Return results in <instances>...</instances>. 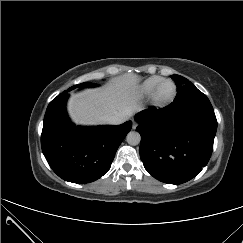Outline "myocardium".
<instances>
[{
	"label": "myocardium",
	"instance_id": "1",
	"mask_svg": "<svg viewBox=\"0 0 243 243\" xmlns=\"http://www.w3.org/2000/svg\"><path fill=\"white\" fill-rule=\"evenodd\" d=\"M167 83L172 84L173 93L168 98H162L160 96V90ZM176 96H177V86H176L175 82L172 81L171 79H165L156 87L155 91L153 92L152 101H153L154 105L157 107H165V106L169 105L170 103H172L174 101V99L176 98Z\"/></svg>",
	"mask_w": 243,
	"mask_h": 243
}]
</instances>
